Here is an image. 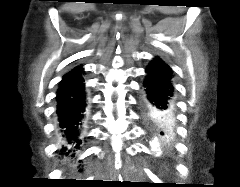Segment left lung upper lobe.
<instances>
[{
  "label": "left lung upper lobe",
  "instance_id": "1",
  "mask_svg": "<svg viewBox=\"0 0 240 187\" xmlns=\"http://www.w3.org/2000/svg\"><path fill=\"white\" fill-rule=\"evenodd\" d=\"M153 125L160 131V135L164 136L166 139L173 133V126H166L160 123H153Z\"/></svg>",
  "mask_w": 240,
  "mask_h": 187
}]
</instances>
